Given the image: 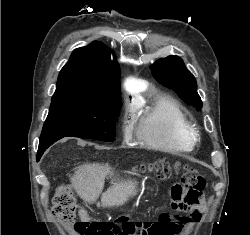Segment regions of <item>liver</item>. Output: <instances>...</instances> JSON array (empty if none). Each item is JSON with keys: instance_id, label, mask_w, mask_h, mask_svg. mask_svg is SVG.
I'll list each match as a JSON object with an SVG mask.
<instances>
[{"instance_id": "obj_1", "label": "liver", "mask_w": 250, "mask_h": 235, "mask_svg": "<svg viewBox=\"0 0 250 235\" xmlns=\"http://www.w3.org/2000/svg\"><path fill=\"white\" fill-rule=\"evenodd\" d=\"M107 175H114L108 164L86 163L76 168L71 183L78 196L87 203L96 202L101 195L103 207L121 206L137 194V182L132 180H112V185L102 193ZM97 205L100 206V203Z\"/></svg>"}]
</instances>
